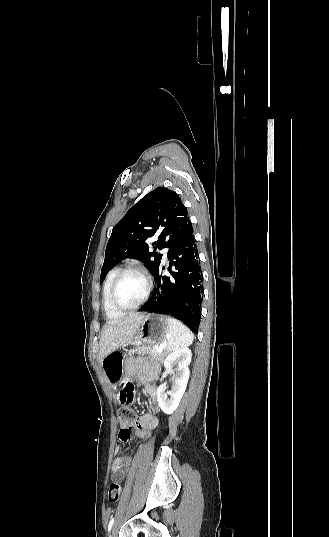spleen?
<instances>
[{"label":"spleen","instance_id":"3e777b00","mask_svg":"<svg viewBox=\"0 0 329 537\" xmlns=\"http://www.w3.org/2000/svg\"><path fill=\"white\" fill-rule=\"evenodd\" d=\"M170 333L166 343L168 351H177L193 343V333L181 321L169 317Z\"/></svg>","mask_w":329,"mask_h":537}]
</instances>
